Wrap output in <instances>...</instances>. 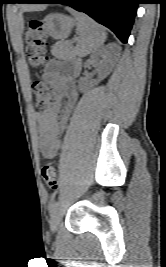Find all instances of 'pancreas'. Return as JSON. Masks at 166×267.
Masks as SVG:
<instances>
[{"label": "pancreas", "mask_w": 166, "mask_h": 267, "mask_svg": "<svg viewBox=\"0 0 166 267\" xmlns=\"http://www.w3.org/2000/svg\"><path fill=\"white\" fill-rule=\"evenodd\" d=\"M51 52L59 59H70L75 55L72 46L65 42H57L54 46H52Z\"/></svg>", "instance_id": "cf45deb5"}]
</instances>
